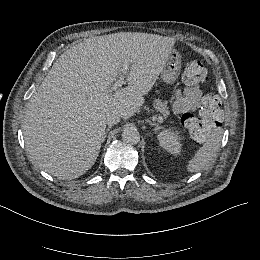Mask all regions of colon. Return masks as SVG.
<instances>
[{"mask_svg": "<svg viewBox=\"0 0 260 260\" xmlns=\"http://www.w3.org/2000/svg\"><path fill=\"white\" fill-rule=\"evenodd\" d=\"M185 82L190 85L204 83L208 80V72L203 63L198 59H190L186 65L184 72ZM206 119L202 116L186 114L184 116V124L191 135L204 127Z\"/></svg>", "mask_w": 260, "mask_h": 260, "instance_id": "5ec220e1", "label": "colon"}]
</instances>
